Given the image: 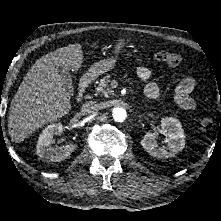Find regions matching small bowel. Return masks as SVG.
<instances>
[{
  "label": "small bowel",
  "instance_id": "obj_1",
  "mask_svg": "<svg viewBox=\"0 0 221 221\" xmlns=\"http://www.w3.org/2000/svg\"><path fill=\"white\" fill-rule=\"evenodd\" d=\"M137 76L143 80L148 81L151 78L152 72L146 66H139L136 69ZM195 88V80L192 77L184 78L175 90L176 103L185 110H194L197 106L191 93ZM145 95L152 100H157L161 97V90L155 83H149L145 87Z\"/></svg>",
  "mask_w": 221,
  "mask_h": 221
}]
</instances>
